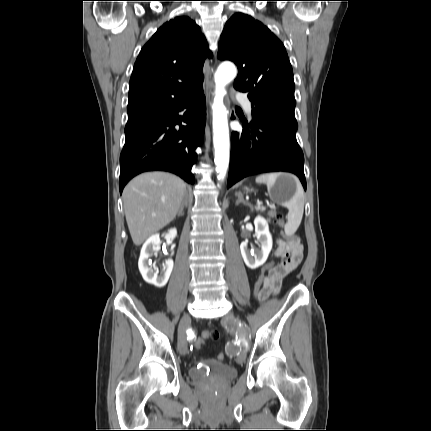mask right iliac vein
Listing matches in <instances>:
<instances>
[{
	"mask_svg": "<svg viewBox=\"0 0 431 431\" xmlns=\"http://www.w3.org/2000/svg\"><path fill=\"white\" fill-rule=\"evenodd\" d=\"M190 316L185 314L179 324L178 327V351L181 355L187 354V341H186V332L190 325Z\"/></svg>",
	"mask_w": 431,
	"mask_h": 431,
	"instance_id": "63e3f726",
	"label": "right iliac vein"
}]
</instances>
